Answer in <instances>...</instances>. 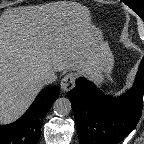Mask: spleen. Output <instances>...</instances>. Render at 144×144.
I'll use <instances>...</instances> for the list:
<instances>
[{"label": "spleen", "mask_w": 144, "mask_h": 144, "mask_svg": "<svg viewBox=\"0 0 144 144\" xmlns=\"http://www.w3.org/2000/svg\"><path fill=\"white\" fill-rule=\"evenodd\" d=\"M131 84L129 83L127 86H125L118 94H121L122 92H125V90L130 86Z\"/></svg>", "instance_id": "spleen-1"}]
</instances>
